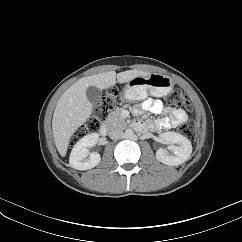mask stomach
I'll return each mask as SVG.
<instances>
[{"label":"stomach","mask_w":242,"mask_h":242,"mask_svg":"<svg viewBox=\"0 0 242 242\" xmlns=\"http://www.w3.org/2000/svg\"><path fill=\"white\" fill-rule=\"evenodd\" d=\"M174 87L173 80L163 74L151 73L148 76H136L125 86L124 98L128 101L145 99L150 93L152 96L163 97L168 95Z\"/></svg>","instance_id":"1"}]
</instances>
